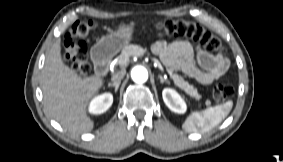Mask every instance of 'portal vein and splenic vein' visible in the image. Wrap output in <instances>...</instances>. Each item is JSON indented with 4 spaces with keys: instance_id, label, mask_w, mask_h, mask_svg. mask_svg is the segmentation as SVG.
I'll return each mask as SVG.
<instances>
[{
    "instance_id": "obj_1",
    "label": "portal vein and splenic vein",
    "mask_w": 283,
    "mask_h": 162,
    "mask_svg": "<svg viewBox=\"0 0 283 162\" xmlns=\"http://www.w3.org/2000/svg\"><path fill=\"white\" fill-rule=\"evenodd\" d=\"M153 59V61H154V63H155V65L161 70V71H163L164 72V68H163V66L160 64V62L157 60V59H155V58H152ZM128 61H129V58L127 57V58H125L124 60H121L120 61V65H126L127 63H128Z\"/></svg>"
}]
</instances>
